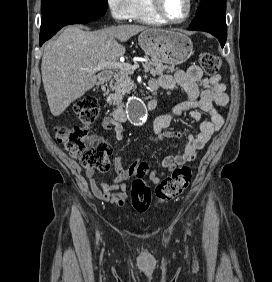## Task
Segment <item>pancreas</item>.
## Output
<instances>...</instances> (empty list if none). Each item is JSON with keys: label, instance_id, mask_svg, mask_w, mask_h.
I'll return each mask as SVG.
<instances>
[{"label": "pancreas", "instance_id": "pancreas-1", "mask_svg": "<svg viewBox=\"0 0 272 282\" xmlns=\"http://www.w3.org/2000/svg\"><path fill=\"white\" fill-rule=\"evenodd\" d=\"M147 60L148 58L145 57ZM145 72L151 73L153 76H162L165 72L172 73L176 70L174 65L165 66L156 61H147L143 63ZM126 70H119L114 73L110 82V88L114 91L107 97L110 105L119 106L122 103L123 96L134 88V83Z\"/></svg>", "mask_w": 272, "mask_h": 282}]
</instances>
